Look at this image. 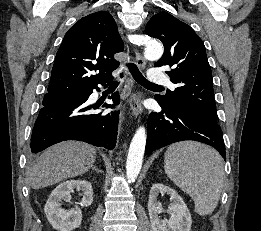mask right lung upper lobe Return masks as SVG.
<instances>
[{
	"label": "right lung upper lobe",
	"mask_w": 261,
	"mask_h": 231,
	"mask_svg": "<svg viewBox=\"0 0 261 231\" xmlns=\"http://www.w3.org/2000/svg\"><path fill=\"white\" fill-rule=\"evenodd\" d=\"M124 43L115 20L108 12H96L80 19L65 34L56 54L48 95H73L109 81L119 66L113 55ZM99 70L96 75L92 71Z\"/></svg>",
	"instance_id": "obj_1"
}]
</instances>
